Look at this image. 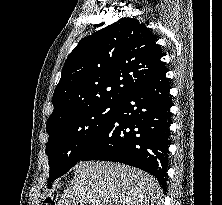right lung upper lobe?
I'll list each match as a JSON object with an SVG mask.
<instances>
[{"label": "right lung upper lobe", "instance_id": "1", "mask_svg": "<svg viewBox=\"0 0 222 205\" xmlns=\"http://www.w3.org/2000/svg\"><path fill=\"white\" fill-rule=\"evenodd\" d=\"M161 57L151 31L133 18L83 38L64 63L47 125L91 105L121 102L131 89L165 69Z\"/></svg>", "mask_w": 222, "mask_h": 205}]
</instances>
